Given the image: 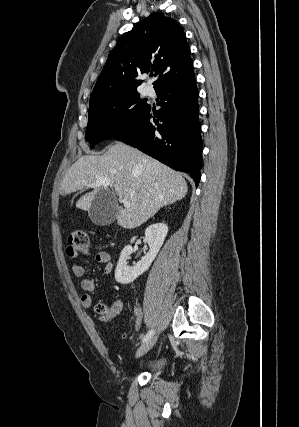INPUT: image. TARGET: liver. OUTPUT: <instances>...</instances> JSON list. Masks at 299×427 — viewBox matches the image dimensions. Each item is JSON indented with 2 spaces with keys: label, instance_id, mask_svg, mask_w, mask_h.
Masks as SVG:
<instances>
[{
  "label": "liver",
  "instance_id": "obj_1",
  "mask_svg": "<svg viewBox=\"0 0 299 427\" xmlns=\"http://www.w3.org/2000/svg\"><path fill=\"white\" fill-rule=\"evenodd\" d=\"M110 180V186L120 200L130 202V207H119L117 223L123 228L140 226L161 207L185 197L188 186L182 175L136 148L115 143L101 156L85 155L66 172L61 182L63 195L83 188H93L83 195L76 207L89 210L100 186L98 180Z\"/></svg>",
  "mask_w": 299,
  "mask_h": 427
}]
</instances>
